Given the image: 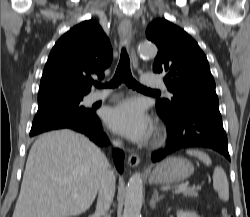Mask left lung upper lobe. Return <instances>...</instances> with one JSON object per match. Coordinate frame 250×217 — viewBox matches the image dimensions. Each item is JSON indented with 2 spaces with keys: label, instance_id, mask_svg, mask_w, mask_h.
Wrapping results in <instances>:
<instances>
[{
  "label": "left lung upper lobe",
  "instance_id": "obj_1",
  "mask_svg": "<svg viewBox=\"0 0 250 217\" xmlns=\"http://www.w3.org/2000/svg\"><path fill=\"white\" fill-rule=\"evenodd\" d=\"M146 36L158 47L153 71L165 74L164 82L173 94L171 100L157 101L159 112L174 116L186 105L218 100L207 58L190 35L160 18L149 24Z\"/></svg>",
  "mask_w": 250,
  "mask_h": 217
}]
</instances>
